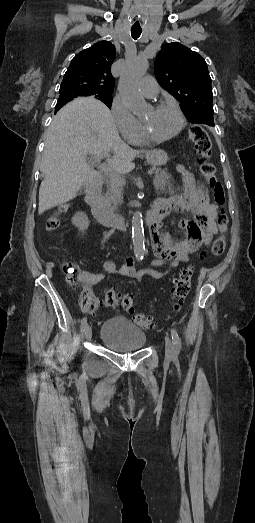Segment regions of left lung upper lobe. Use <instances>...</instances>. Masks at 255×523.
Wrapping results in <instances>:
<instances>
[{
    "instance_id": "5c2ea615",
    "label": "left lung upper lobe",
    "mask_w": 255,
    "mask_h": 523,
    "mask_svg": "<svg viewBox=\"0 0 255 523\" xmlns=\"http://www.w3.org/2000/svg\"><path fill=\"white\" fill-rule=\"evenodd\" d=\"M155 76L160 86L181 102L191 123L214 126L211 77L198 53L177 42L162 45L155 60Z\"/></svg>"
}]
</instances>
